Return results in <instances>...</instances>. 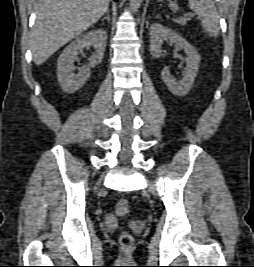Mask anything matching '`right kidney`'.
Wrapping results in <instances>:
<instances>
[{
    "instance_id": "ca27d5eb",
    "label": "right kidney",
    "mask_w": 254,
    "mask_h": 267,
    "mask_svg": "<svg viewBox=\"0 0 254 267\" xmlns=\"http://www.w3.org/2000/svg\"><path fill=\"white\" fill-rule=\"evenodd\" d=\"M107 41V33L104 29H95L78 37L70 43L58 58L57 77L61 88L67 93H74L80 89L90 77V69L102 62ZM93 46L95 52L89 58L87 66L73 73L74 61L77 54L86 47Z\"/></svg>"
}]
</instances>
